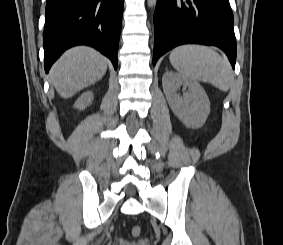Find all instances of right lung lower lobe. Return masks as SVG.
<instances>
[{
    "mask_svg": "<svg viewBox=\"0 0 283 245\" xmlns=\"http://www.w3.org/2000/svg\"><path fill=\"white\" fill-rule=\"evenodd\" d=\"M124 0H47L43 33L44 65L68 48L89 45L107 56L117 69Z\"/></svg>",
    "mask_w": 283,
    "mask_h": 245,
    "instance_id": "obj_1",
    "label": "right lung lower lobe"
}]
</instances>
